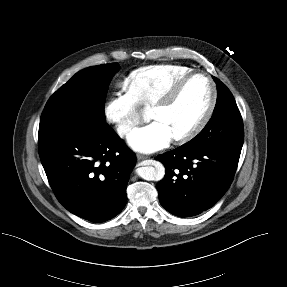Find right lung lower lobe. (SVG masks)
I'll use <instances>...</instances> for the list:
<instances>
[{"mask_svg": "<svg viewBox=\"0 0 287 287\" xmlns=\"http://www.w3.org/2000/svg\"><path fill=\"white\" fill-rule=\"evenodd\" d=\"M39 155L59 202L95 222L121 212L136 156L109 126L38 141Z\"/></svg>", "mask_w": 287, "mask_h": 287, "instance_id": "right-lung-lower-lobe-1", "label": "right lung lower lobe"}]
</instances>
